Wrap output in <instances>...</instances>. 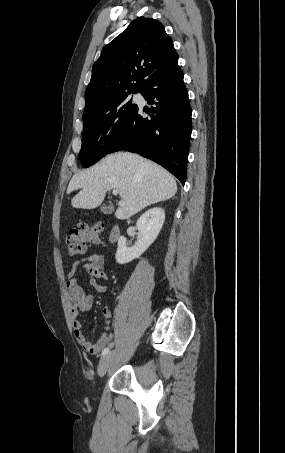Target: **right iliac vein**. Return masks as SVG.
Returning a JSON list of instances; mask_svg holds the SVG:
<instances>
[{
  "label": "right iliac vein",
  "mask_w": 285,
  "mask_h": 453,
  "mask_svg": "<svg viewBox=\"0 0 285 453\" xmlns=\"http://www.w3.org/2000/svg\"><path fill=\"white\" fill-rule=\"evenodd\" d=\"M115 353H116V351H112V352L106 354L101 359V361L99 363V366H98V370H97L98 376L100 378H102L106 374V372H107V370H108V368H109V366L111 364V361H112Z\"/></svg>",
  "instance_id": "obj_1"
}]
</instances>
